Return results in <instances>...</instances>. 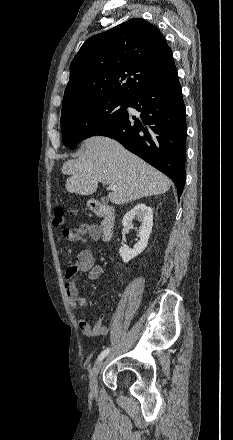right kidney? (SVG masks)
I'll list each match as a JSON object with an SVG mask.
<instances>
[{"label": "right kidney", "instance_id": "1", "mask_svg": "<svg viewBox=\"0 0 233 440\" xmlns=\"http://www.w3.org/2000/svg\"><path fill=\"white\" fill-rule=\"evenodd\" d=\"M137 218L141 222V228L138 230L140 240L134 245V248L120 247L119 254L124 263L141 254L148 245V240L153 226V211L143 203L137 204L133 209L126 213L122 220L123 227L133 226V220Z\"/></svg>", "mask_w": 233, "mask_h": 440}]
</instances>
